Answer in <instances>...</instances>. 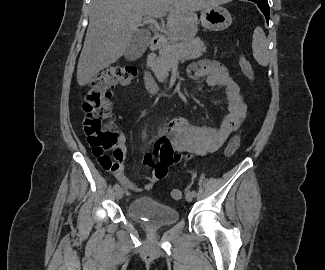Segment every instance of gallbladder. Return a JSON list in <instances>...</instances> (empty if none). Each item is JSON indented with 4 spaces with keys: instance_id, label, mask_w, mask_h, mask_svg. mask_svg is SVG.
Here are the masks:
<instances>
[{
    "instance_id": "bac80fb5",
    "label": "gallbladder",
    "mask_w": 325,
    "mask_h": 270,
    "mask_svg": "<svg viewBox=\"0 0 325 270\" xmlns=\"http://www.w3.org/2000/svg\"><path fill=\"white\" fill-rule=\"evenodd\" d=\"M151 40V33L148 30H138L132 37L125 52L126 59L134 60L142 56Z\"/></svg>"
}]
</instances>
